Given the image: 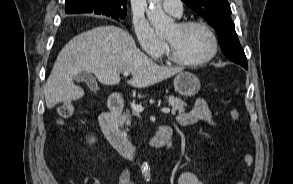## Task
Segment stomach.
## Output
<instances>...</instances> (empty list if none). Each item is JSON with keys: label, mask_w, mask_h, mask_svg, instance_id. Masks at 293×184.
Segmentation results:
<instances>
[{"label": "stomach", "mask_w": 293, "mask_h": 184, "mask_svg": "<svg viewBox=\"0 0 293 184\" xmlns=\"http://www.w3.org/2000/svg\"><path fill=\"white\" fill-rule=\"evenodd\" d=\"M175 90L182 96L191 97L200 90V81L197 76L190 72H180L173 82Z\"/></svg>", "instance_id": "stomach-1"}]
</instances>
